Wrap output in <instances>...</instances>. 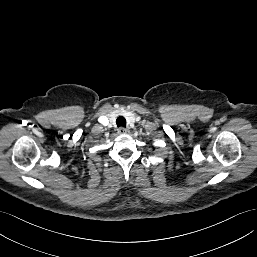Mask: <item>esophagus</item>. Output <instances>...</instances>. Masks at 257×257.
I'll return each instance as SVG.
<instances>
[{
    "mask_svg": "<svg viewBox=\"0 0 257 257\" xmlns=\"http://www.w3.org/2000/svg\"><path fill=\"white\" fill-rule=\"evenodd\" d=\"M119 133H120V134H127V133H129V129L124 128V127H121V128L119 129Z\"/></svg>",
    "mask_w": 257,
    "mask_h": 257,
    "instance_id": "esophagus-1",
    "label": "esophagus"
}]
</instances>
